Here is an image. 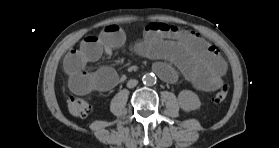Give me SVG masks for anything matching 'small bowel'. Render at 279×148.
<instances>
[{
  "mask_svg": "<svg viewBox=\"0 0 279 148\" xmlns=\"http://www.w3.org/2000/svg\"><path fill=\"white\" fill-rule=\"evenodd\" d=\"M126 35L118 25L106 26L98 35L87 36L77 48L67 52L63 68L68 75L70 89L77 94L91 91H109L114 88L119 76L111 67H102L94 73L86 66L96 62L104 53L122 47ZM133 51L143 57L156 60L154 71L166 82L177 80L175 65L196 88L214 91L221 87L227 66L218 50L198 33L165 23H150L142 38L133 45Z\"/></svg>",
  "mask_w": 279,
  "mask_h": 148,
  "instance_id": "small-bowel-1",
  "label": "small bowel"
}]
</instances>
